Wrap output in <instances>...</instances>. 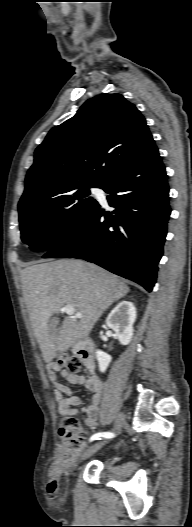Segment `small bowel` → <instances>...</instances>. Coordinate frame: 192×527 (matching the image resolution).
I'll return each instance as SVG.
<instances>
[{"instance_id": "small-bowel-1", "label": "small bowel", "mask_w": 192, "mask_h": 527, "mask_svg": "<svg viewBox=\"0 0 192 527\" xmlns=\"http://www.w3.org/2000/svg\"><path fill=\"white\" fill-rule=\"evenodd\" d=\"M58 373L61 374L70 384L83 385L88 391L92 392L91 401L84 405L80 397L73 394L72 389L58 381ZM48 377L56 389V398L61 415H85V424L89 428H95L98 424L100 403L104 393V383L102 380L92 375L88 378L73 375L65 370H61L58 365L52 364L48 369ZM66 395L67 397H63ZM79 408H74L78 407Z\"/></svg>"}]
</instances>
